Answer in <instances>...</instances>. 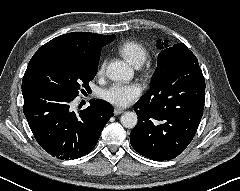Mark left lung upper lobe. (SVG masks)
Masks as SVG:
<instances>
[{"instance_id":"5c2ea615","label":"left lung upper lobe","mask_w":240,"mask_h":191,"mask_svg":"<svg viewBox=\"0 0 240 191\" xmlns=\"http://www.w3.org/2000/svg\"><path fill=\"white\" fill-rule=\"evenodd\" d=\"M157 46L162 49L158 55L157 69L153 75L150 90L143 99L151 100L165 91L180 92L181 84L187 78L202 74L195 55L183 44L168 46L159 40Z\"/></svg>"}]
</instances>
